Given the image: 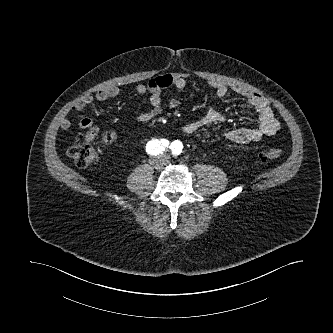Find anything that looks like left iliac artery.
<instances>
[{"label":"left iliac artery","mask_w":333,"mask_h":333,"mask_svg":"<svg viewBox=\"0 0 333 333\" xmlns=\"http://www.w3.org/2000/svg\"><path fill=\"white\" fill-rule=\"evenodd\" d=\"M170 149H171L172 154H173L174 156L179 155V154L181 153V151H182V147L179 146V145H177L175 142H174V143H171Z\"/></svg>","instance_id":"obj_1"}]
</instances>
